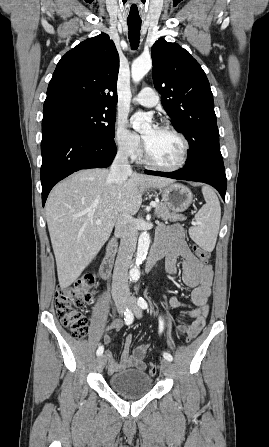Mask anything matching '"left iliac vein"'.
Returning a JSON list of instances; mask_svg holds the SVG:
<instances>
[{
  "mask_svg": "<svg viewBox=\"0 0 269 447\" xmlns=\"http://www.w3.org/2000/svg\"><path fill=\"white\" fill-rule=\"evenodd\" d=\"M128 307L133 311L136 317L140 318L142 316V310L138 306L136 299L134 297H130L128 301ZM161 371L164 375L171 373L172 364L167 359H162L160 361Z\"/></svg>",
  "mask_w": 269,
  "mask_h": 447,
  "instance_id": "1",
  "label": "left iliac vein"
}]
</instances>
